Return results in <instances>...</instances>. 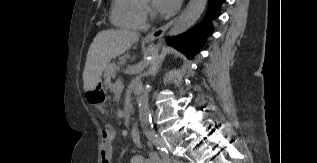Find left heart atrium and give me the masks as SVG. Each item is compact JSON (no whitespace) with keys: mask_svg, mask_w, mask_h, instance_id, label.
<instances>
[{"mask_svg":"<svg viewBox=\"0 0 317 163\" xmlns=\"http://www.w3.org/2000/svg\"><path fill=\"white\" fill-rule=\"evenodd\" d=\"M181 0H153L155 10L162 15H169L176 11Z\"/></svg>","mask_w":317,"mask_h":163,"instance_id":"39dd6f15","label":"left heart atrium"}]
</instances>
